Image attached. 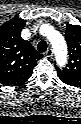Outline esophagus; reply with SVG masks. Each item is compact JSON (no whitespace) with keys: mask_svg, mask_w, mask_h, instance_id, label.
<instances>
[{"mask_svg":"<svg viewBox=\"0 0 81 124\" xmlns=\"http://www.w3.org/2000/svg\"><path fill=\"white\" fill-rule=\"evenodd\" d=\"M45 56L49 58L53 56V50L51 47L47 49V51L45 52Z\"/></svg>","mask_w":81,"mask_h":124,"instance_id":"34e87169","label":"esophagus"}]
</instances>
